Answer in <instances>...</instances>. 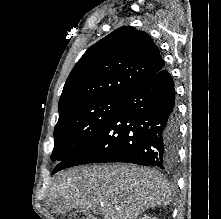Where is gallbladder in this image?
Masks as SVG:
<instances>
[{
	"label": "gallbladder",
	"instance_id": "gallbladder-1",
	"mask_svg": "<svg viewBox=\"0 0 221 219\" xmlns=\"http://www.w3.org/2000/svg\"><path fill=\"white\" fill-rule=\"evenodd\" d=\"M93 213L96 214V215H101L102 210L99 209V208H96V209L93 210ZM85 215H86V219H93L91 214L85 213Z\"/></svg>",
	"mask_w": 221,
	"mask_h": 219
}]
</instances>
